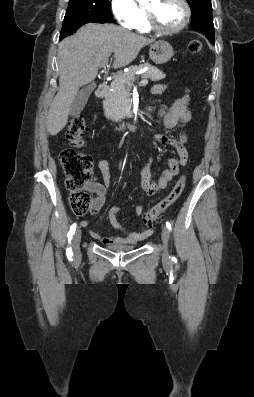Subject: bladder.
<instances>
[{
    "label": "bladder",
    "instance_id": "obj_1",
    "mask_svg": "<svg viewBox=\"0 0 254 397\" xmlns=\"http://www.w3.org/2000/svg\"><path fill=\"white\" fill-rule=\"evenodd\" d=\"M109 250L115 251V252H128L136 249V246L134 245H116V246H111L108 247Z\"/></svg>",
    "mask_w": 254,
    "mask_h": 397
}]
</instances>
